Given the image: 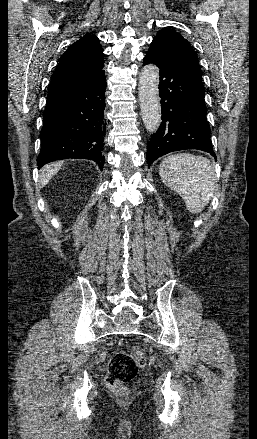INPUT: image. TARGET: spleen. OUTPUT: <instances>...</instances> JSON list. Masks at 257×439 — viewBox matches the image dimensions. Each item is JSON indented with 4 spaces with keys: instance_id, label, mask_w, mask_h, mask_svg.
I'll list each match as a JSON object with an SVG mask.
<instances>
[{
    "instance_id": "1",
    "label": "spleen",
    "mask_w": 257,
    "mask_h": 439,
    "mask_svg": "<svg viewBox=\"0 0 257 439\" xmlns=\"http://www.w3.org/2000/svg\"><path fill=\"white\" fill-rule=\"evenodd\" d=\"M159 174L163 183L177 192L194 214L205 208L215 188L216 176L211 162L190 153L166 157L160 164Z\"/></svg>"
}]
</instances>
